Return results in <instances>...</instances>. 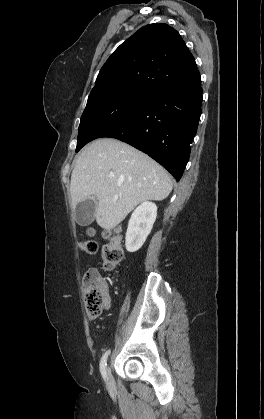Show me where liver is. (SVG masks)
Here are the masks:
<instances>
[{
	"mask_svg": "<svg viewBox=\"0 0 264 419\" xmlns=\"http://www.w3.org/2000/svg\"><path fill=\"white\" fill-rule=\"evenodd\" d=\"M172 187L169 174L152 158L129 144L103 138L80 153L70 192L73 208L88 198L96 201V222L110 231L139 203L167 198Z\"/></svg>",
	"mask_w": 264,
	"mask_h": 419,
	"instance_id": "liver-1",
	"label": "liver"
}]
</instances>
